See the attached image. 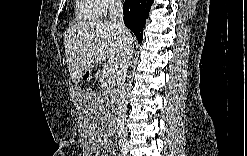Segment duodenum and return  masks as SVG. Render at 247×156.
Here are the masks:
<instances>
[{
  "instance_id": "duodenum-1",
  "label": "duodenum",
  "mask_w": 247,
  "mask_h": 156,
  "mask_svg": "<svg viewBox=\"0 0 247 156\" xmlns=\"http://www.w3.org/2000/svg\"><path fill=\"white\" fill-rule=\"evenodd\" d=\"M119 102H120V99L117 97L113 103V107H114V112H115V115L118 114V106H119Z\"/></svg>"
}]
</instances>
